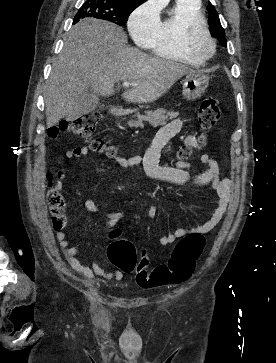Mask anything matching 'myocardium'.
<instances>
[{
	"label": "myocardium",
	"instance_id": "obj_1",
	"mask_svg": "<svg viewBox=\"0 0 276 363\" xmlns=\"http://www.w3.org/2000/svg\"><path fill=\"white\" fill-rule=\"evenodd\" d=\"M202 32L210 43V51L208 53H202L197 48L193 46L192 40L199 33ZM184 49L185 51L194 59L199 62L208 61L215 53L216 42L211 32L209 31L207 25L198 22L190 23L186 26L184 31Z\"/></svg>",
	"mask_w": 276,
	"mask_h": 363
}]
</instances>
